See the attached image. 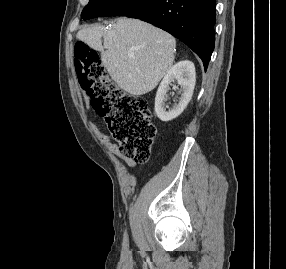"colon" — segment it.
Listing matches in <instances>:
<instances>
[{
	"label": "colon",
	"mask_w": 286,
	"mask_h": 269,
	"mask_svg": "<svg viewBox=\"0 0 286 269\" xmlns=\"http://www.w3.org/2000/svg\"><path fill=\"white\" fill-rule=\"evenodd\" d=\"M73 53L80 85L105 120L121 154L136 162H146L156 137L148 100L117 88L107 76L98 54L86 43L77 42Z\"/></svg>",
	"instance_id": "obj_1"
}]
</instances>
